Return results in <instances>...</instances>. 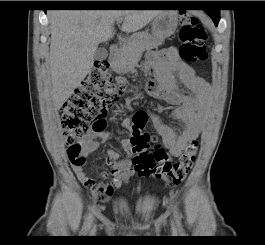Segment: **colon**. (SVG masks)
I'll use <instances>...</instances> for the list:
<instances>
[{"label":"colon","mask_w":265,"mask_h":245,"mask_svg":"<svg viewBox=\"0 0 265 245\" xmlns=\"http://www.w3.org/2000/svg\"><path fill=\"white\" fill-rule=\"evenodd\" d=\"M181 47L179 55L185 62L207 60L206 30L199 19L186 12L180 14ZM108 61H97L86 78L74 90L60 109L63 136L68 160L75 166L85 164L82 138L90 128L101 131L105 128L102 116L112 111L126 86L113 84L109 75ZM148 117L144 111L136 112L131 118V145L135 154L133 170L143 177L163 179L166 185H178L195 163L198 142L192 140L176 161L162 147H150V136L143 132Z\"/></svg>","instance_id":"obj_1"}]
</instances>
